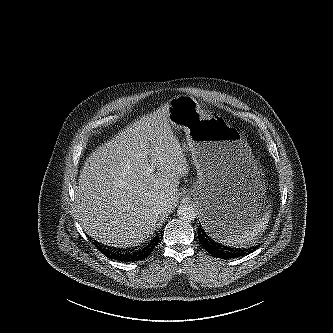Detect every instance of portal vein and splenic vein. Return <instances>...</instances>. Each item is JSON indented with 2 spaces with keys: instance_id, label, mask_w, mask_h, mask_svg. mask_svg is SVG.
<instances>
[{
  "instance_id": "1",
  "label": "portal vein and splenic vein",
  "mask_w": 333,
  "mask_h": 333,
  "mask_svg": "<svg viewBox=\"0 0 333 333\" xmlns=\"http://www.w3.org/2000/svg\"><path fill=\"white\" fill-rule=\"evenodd\" d=\"M154 171L153 169H150V172Z\"/></svg>"
}]
</instances>
